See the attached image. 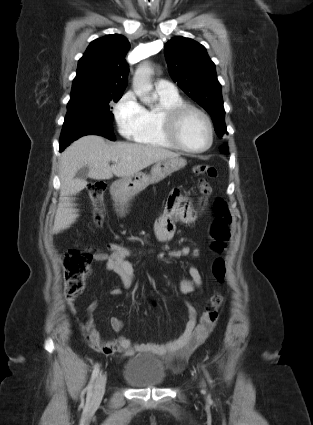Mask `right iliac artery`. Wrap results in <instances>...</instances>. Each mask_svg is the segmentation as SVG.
<instances>
[{
    "mask_svg": "<svg viewBox=\"0 0 313 425\" xmlns=\"http://www.w3.org/2000/svg\"><path fill=\"white\" fill-rule=\"evenodd\" d=\"M99 371H100V366L99 365H96L95 368H94V370H93V372H92L90 382H89L88 386L86 387V390H87V402L88 403H89V401H90V399L92 397V394H93V392H92L93 383H94L95 379L97 378V376L99 374Z\"/></svg>",
    "mask_w": 313,
    "mask_h": 425,
    "instance_id": "1",
    "label": "right iliac artery"
}]
</instances>
